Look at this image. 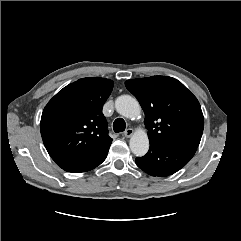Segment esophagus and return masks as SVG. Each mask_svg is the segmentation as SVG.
Segmentation results:
<instances>
[{
	"label": "esophagus",
	"instance_id": "1",
	"mask_svg": "<svg viewBox=\"0 0 241 241\" xmlns=\"http://www.w3.org/2000/svg\"><path fill=\"white\" fill-rule=\"evenodd\" d=\"M133 133H134L133 129L128 128V129H126V131L124 132L123 135H124L126 138H129V137H131V136L133 135Z\"/></svg>",
	"mask_w": 241,
	"mask_h": 241
}]
</instances>
